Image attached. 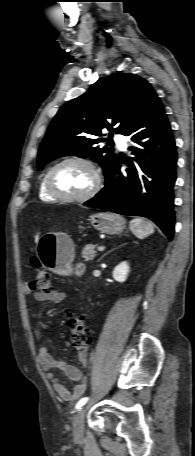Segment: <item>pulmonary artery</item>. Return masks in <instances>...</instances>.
I'll return each instance as SVG.
<instances>
[{
    "instance_id": "1",
    "label": "pulmonary artery",
    "mask_w": 195,
    "mask_h": 456,
    "mask_svg": "<svg viewBox=\"0 0 195 456\" xmlns=\"http://www.w3.org/2000/svg\"><path fill=\"white\" fill-rule=\"evenodd\" d=\"M115 141L118 144V146L122 149L126 148V139L122 135H116L115 136Z\"/></svg>"
}]
</instances>
